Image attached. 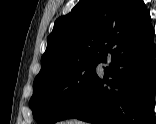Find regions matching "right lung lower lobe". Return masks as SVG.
<instances>
[{
	"label": "right lung lower lobe",
	"instance_id": "98d812e1",
	"mask_svg": "<svg viewBox=\"0 0 156 124\" xmlns=\"http://www.w3.org/2000/svg\"><path fill=\"white\" fill-rule=\"evenodd\" d=\"M152 26L126 33L104 54L111 64L60 117L94 124H156L155 53ZM108 77L112 79L109 80Z\"/></svg>",
	"mask_w": 156,
	"mask_h": 124
}]
</instances>
